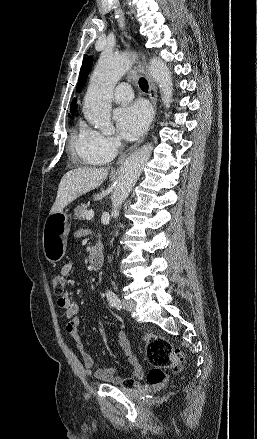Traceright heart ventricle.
Returning a JSON list of instances; mask_svg holds the SVG:
<instances>
[{
	"mask_svg": "<svg viewBox=\"0 0 257 439\" xmlns=\"http://www.w3.org/2000/svg\"><path fill=\"white\" fill-rule=\"evenodd\" d=\"M70 147L75 156L80 158L84 164L99 165L103 163L97 158L91 156L87 149V131L84 129H75L70 140Z\"/></svg>",
	"mask_w": 257,
	"mask_h": 439,
	"instance_id": "right-heart-ventricle-1",
	"label": "right heart ventricle"
}]
</instances>
